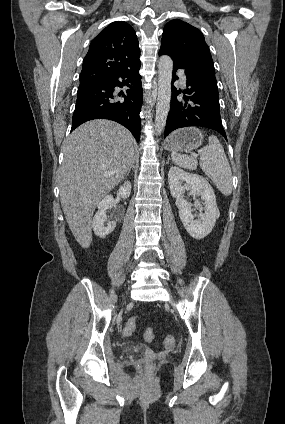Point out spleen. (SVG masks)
<instances>
[{
	"mask_svg": "<svg viewBox=\"0 0 285 424\" xmlns=\"http://www.w3.org/2000/svg\"><path fill=\"white\" fill-rule=\"evenodd\" d=\"M209 144L198 151L200 167L203 172L213 181L219 191L229 196L232 193V172L224 149L214 135L209 136ZM176 165L186 169H196L197 160L192 156L181 155L176 152L171 154Z\"/></svg>",
	"mask_w": 285,
	"mask_h": 424,
	"instance_id": "obj_1",
	"label": "spleen"
}]
</instances>
